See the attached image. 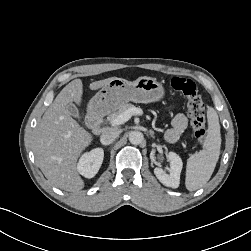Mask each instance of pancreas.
<instances>
[{
    "label": "pancreas",
    "mask_w": 251,
    "mask_h": 251,
    "mask_svg": "<svg viewBox=\"0 0 251 251\" xmlns=\"http://www.w3.org/2000/svg\"><path fill=\"white\" fill-rule=\"evenodd\" d=\"M135 107L134 105L130 104V103H125L123 105H121L117 110L111 112L108 117L107 120L108 121H112L114 118H116L119 114H121L122 112L126 111L129 108H133Z\"/></svg>",
    "instance_id": "obj_1"
}]
</instances>
